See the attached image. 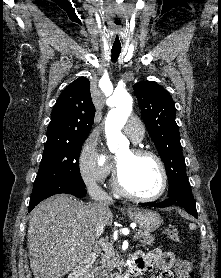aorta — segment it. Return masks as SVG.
<instances>
[{
	"label": "aorta",
	"instance_id": "aorta-1",
	"mask_svg": "<svg viewBox=\"0 0 221 278\" xmlns=\"http://www.w3.org/2000/svg\"><path fill=\"white\" fill-rule=\"evenodd\" d=\"M132 104V97L127 92L116 94L114 97V108L109 111L105 121L107 144L112 152L124 141L121 129L132 112Z\"/></svg>",
	"mask_w": 221,
	"mask_h": 278
}]
</instances>
